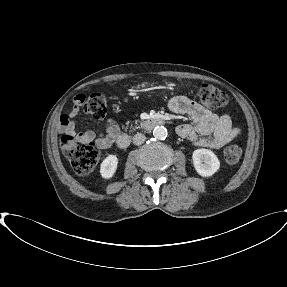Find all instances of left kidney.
<instances>
[{
  "mask_svg": "<svg viewBox=\"0 0 287 287\" xmlns=\"http://www.w3.org/2000/svg\"><path fill=\"white\" fill-rule=\"evenodd\" d=\"M194 168L203 177L212 176L220 168V161L209 149H196L192 154Z\"/></svg>",
  "mask_w": 287,
  "mask_h": 287,
  "instance_id": "1",
  "label": "left kidney"
}]
</instances>
